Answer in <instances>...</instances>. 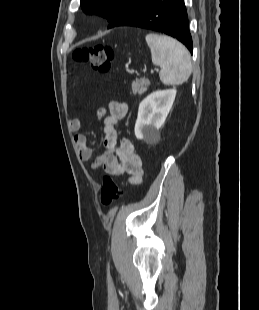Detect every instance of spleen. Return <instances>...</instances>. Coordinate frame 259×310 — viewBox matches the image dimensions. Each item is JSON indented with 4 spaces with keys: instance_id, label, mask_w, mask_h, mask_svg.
<instances>
[{
    "instance_id": "3e777b00",
    "label": "spleen",
    "mask_w": 259,
    "mask_h": 310,
    "mask_svg": "<svg viewBox=\"0 0 259 310\" xmlns=\"http://www.w3.org/2000/svg\"><path fill=\"white\" fill-rule=\"evenodd\" d=\"M151 50L152 62L160 66V79L164 85H179L188 80L192 73L191 56L179 41L156 33L145 37Z\"/></svg>"
}]
</instances>
